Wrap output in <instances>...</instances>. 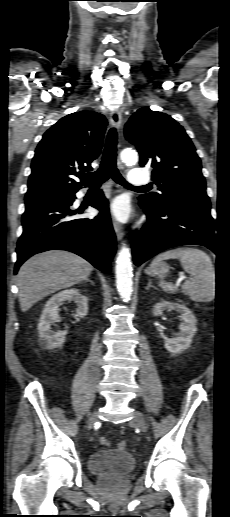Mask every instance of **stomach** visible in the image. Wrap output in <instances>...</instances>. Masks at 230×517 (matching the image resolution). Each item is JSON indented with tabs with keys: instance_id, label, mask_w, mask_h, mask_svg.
<instances>
[{
	"instance_id": "0dacf381",
	"label": "stomach",
	"mask_w": 230,
	"mask_h": 517,
	"mask_svg": "<svg viewBox=\"0 0 230 517\" xmlns=\"http://www.w3.org/2000/svg\"><path fill=\"white\" fill-rule=\"evenodd\" d=\"M169 271V266L166 263H159L155 267H149L145 270L146 274L151 276H158L160 278H163L166 276V274Z\"/></svg>"
}]
</instances>
